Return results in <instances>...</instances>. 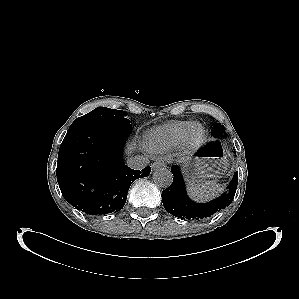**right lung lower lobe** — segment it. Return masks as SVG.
<instances>
[{
  "label": "right lung lower lobe",
  "mask_w": 299,
  "mask_h": 299,
  "mask_svg": "<svg viewBox=\"0 0 299 299\" xmlns=\"http://www.w3.org/2000/svg\"><path fill=\"white\" fill-rule=\"evenodd\" d=\"M130 123L68 129L60 146L57 181L65 200L88 215L121 210L132 182L151 168L133 170L124 164L123 146Z\"/></svg>",
  "instance_id": "1"
}]
</instances>
